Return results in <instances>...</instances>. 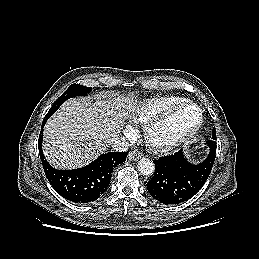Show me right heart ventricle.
Masks as SVG:
<instances>
[{"mask_svg":"<svg viewBox=\"0 0 259 259\" xmlns=\"http://www.w3.org/2000/svg\"><path fill=\"white\" fill-rule=\"evenodd\" d=\"M187 102L178 96L155 97L140 102L133 112L132 121L144 125L171 108Z\"/></svg>","mask_w":259,"mask_h":259,"instance_id":"right-heart-ventricle-1","label":"right heart ventricle"}]
</instances>
